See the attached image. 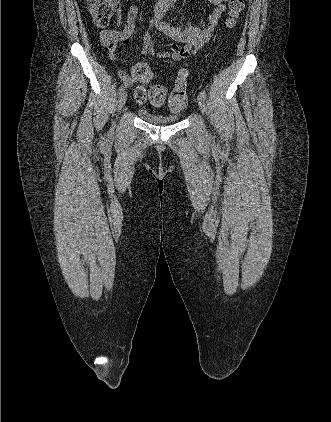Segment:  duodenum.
Here are the masks:
<instances>
[{
  "label": "duodenum",
  "mask_w": 331,
  "mask_h": 422,
  "mask_svg": "<svg viewBox=\"0 0 331 422\" xmlns=\"http://www.w3.org/2000/svg\"><path fill=\"white\" fill-rule=\"evenodd\" d=\"M163 1L166 5V8L168 9V8L172 7L176 3L177 0H163Z\"/></svg>",
  "instance_id": "1"
}]
</instances>
